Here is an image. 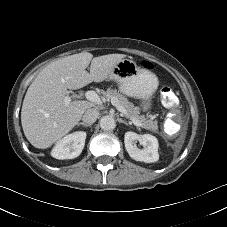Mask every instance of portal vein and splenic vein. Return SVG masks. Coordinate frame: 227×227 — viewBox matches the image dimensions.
I'll return each mask as SVG.
<instances>
[{"mask_svg": "<svg viewBox=\"0 0 227 227\" xmlns=\"http://www.w3.org/2000/svg\"><path fill=\"white\" fill-rule=\"evenodd\" d=\"M85 97H86L87 100L91 101L92 103H94L96 105L102 104V101H101L99 95L95 91H87L85 93ZM70 102H71V98L69 96H65L64 97V104L68 105ZM111 103L122 114H124V115L127 114L126 110L119 104V102L116 98H112ZM129 118L131 119V121L133 122L134 125L140 126V127L142 126V123L139 120L135 119L134 117H129Z\"/></svg>", "mask_w": 227, "mask_h": 227, "instance_id": "1", "label": "portal vein and splenic vein"}]
</instances>
